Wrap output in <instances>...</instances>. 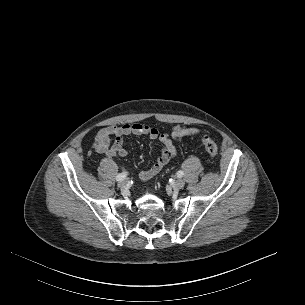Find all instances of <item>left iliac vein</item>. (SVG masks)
<instances>
[{
    "mask_svg": "<svg viewBox=\"0 0 305 305\" xmlns=\"http://www.w3.org/2000/svg\"><path fill=\"white\" fill-rule=\"evenodd\" d=\"M185 185V181L182 178H178L174 183H173V188L174 189H181Z\"/></svg>",
    "mask_w": 305,
    "mask_h": 305,
    "instance_id": "left-iliac-vein-1",
    "label": "left iliac vein"
}]
</instances>
